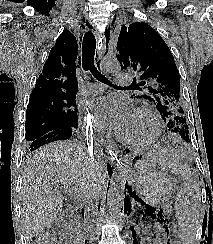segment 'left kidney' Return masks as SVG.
I'll use <instances>...</instances> for the list:
<instances>
[{"mask_svg": "<svg viewBox=\"0 0 213 244\" xmlns=\"http://www.w3.org/2000/svg\"><path fill=\"white\" fill-rule=\"evenodd\" d=\"M167 240L163 232L157 233V238L154 241V244H166Z\"/></svg>", "mask_w": 213, "mask_h": 244, "instance_id": "5707ae66", "label": "left kidney"}]
</instances>
